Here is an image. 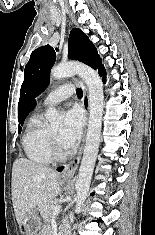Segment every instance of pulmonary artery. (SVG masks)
Here are the masks:
<instances>
[{
	"label": "pulmonary artery",
	"instance_id": "1",
	"mask_svg": "<svg viewBox=\"0 0 155 235\" xmlns=\"http://www.w3.org/2000/svg\"><path fill=\"white\" fill-rule=\"evenodd\" d=\"M73 92V86L70 84L59 86L46 96L42 105L43 107H49L59 104L60 102L72 96Z\"/></svg>",
	"mask_w": 155,
	"mask_h": 235
}]
</instances>
